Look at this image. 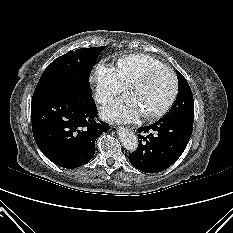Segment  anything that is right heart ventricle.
<instances>
[{
  "label": "right heart ventricle",
  "mask_w": 233,
  "mask_h": 233,
  "mask_svg": "<svg viewBox=\"0 0 233 233\" xmlns=\"http://www.w3.org/2000/svg\"><path fill=\"white\" fill-rule=\"evenodd\" d=\"M163 65L156 58L146 54H133L122 57L117 62V71L128 86L129 83L145 69L152 66Z\"/></svg>",
  "instance_id": "obj_1"
}]
</instances>
